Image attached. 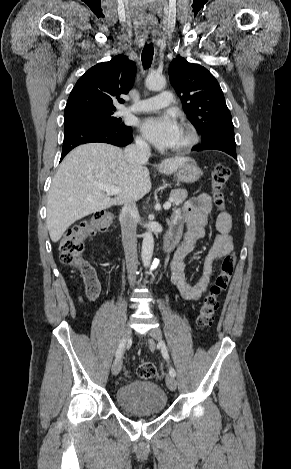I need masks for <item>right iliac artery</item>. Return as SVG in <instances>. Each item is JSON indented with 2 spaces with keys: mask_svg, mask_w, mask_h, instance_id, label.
Wrapping results in <instances>:
<instances>
[{
  "mask_svg": "<svg viewBox=\"0 0 291 469\" xmlns=\"http://www.w3.org/2000/svg\"><path fill=\"white\" fill-rule=\"evenodd\" d=\"M124 347H125V343L123 340H121L119 346H118V349L116 351V359L119 358L122 353H123V350H124Z\"/></svg>",
  "mask_w": 291,
  "mask_h": 469,
  "instance_id": "1",
  "label": "right iliac artery"
}]
</instances>
